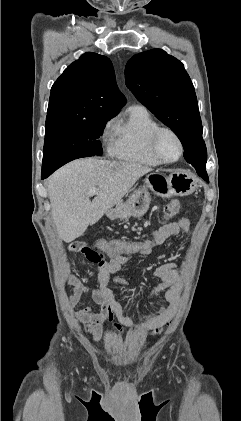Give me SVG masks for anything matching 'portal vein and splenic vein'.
Returning a JSON list of instances; mask_svg holds the SVG:
<instances>
[{"label": "portal vein and splenic vein", "mask_w": 241, "mask_h": 421, "mask_svg": "<svg viewBox=\"0 0 241 421\" xmlns=\"http://www.w3.org/2000/svg\"><path fill=\"white\" fill-rule=\"evenodd\" d=\"M98 193V189L97 188H91L90 190H89V192H88V194L91 196V195H95V194H97Z\"/></svg>", "instance_id": "1"}]
</instances>
